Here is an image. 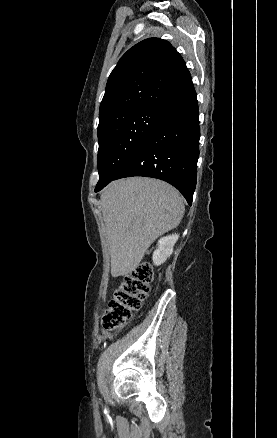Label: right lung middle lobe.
Listing matches in <instances>:
<instances>
[{
    "instance_id": "1",
    "label": "right lung middle lobe",
    "mask_w": 277,
    "mask_h": 438,
    "mask_svg": "<svg viewBox=\"0 0 277 438\" xmlns=\"http://www.w3.org/2000/svg\"><path fill=\"white\" fill-rule=\"evenodd\" d=\"M163 112L148 110L138 115H114L99 121L98 187L113 180L145 142Z\"/></svg>"
}]
</instances>
